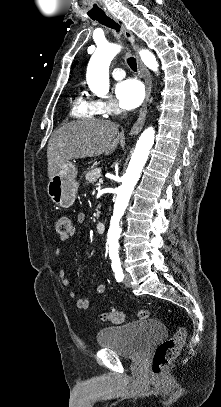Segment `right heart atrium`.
Wrapping results in <instances>:
<instances>
[{
	"instance_id": "obj_1",
	"label": "right heart atrium",
	"mask_w": 221,
	"mask_h": 407,
	"mask_svg": "<svg viewBox=\"0 0 221 407\" xmlns=\"http://www.w3.org/2000/svg\"><path fill=\"white\" fill-rule=\"evenodd\" d=\"M96 110L106 116H114L123 111V108L113 100H95Z\"/></svg>"
}]
</instances>
